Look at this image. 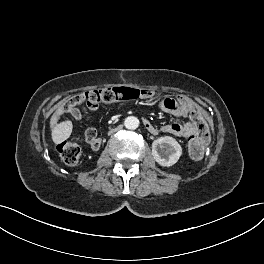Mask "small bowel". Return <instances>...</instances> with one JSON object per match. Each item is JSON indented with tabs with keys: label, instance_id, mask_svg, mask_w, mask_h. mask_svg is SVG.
Returning a JSON list of instances; mask_svg holds the SVG:
<instances>
[{
	"label": "small bowel",
	"instance_id": "1",
	"mask_svg": "<svg viewBox=\"0 0 264 264\" xmlns=\"http://www.w3.org/2000/svg\"><path fill=\"white\" fill-rule=\"evenodd\" d=\"M140 96L143 99H151L155 96V92L150 89L141 90ZM78 103L65 102L54 115L53 122L56 125L64 112L70 113L77 120H86L87 116L77 108ZM90 110H97L98 106H88ZM161 109L176 117L186 118L191 110V103L185 98H166L161 103ZM146 129L153 135L159 133H168L179 137H190L196 132V127L193 123H171L165 124L160 128L152 125L148 120H144ZM71 125L66 124V133L70 134ZM86 141L93 150H98L101 146V140L97 137V133L94 127H89L86 131Z\"/></svg>",
	"mask_w": 264,
	"mask_h": 264
}]
</instances>
